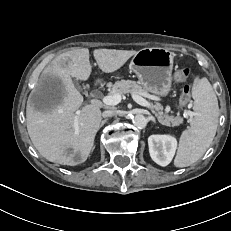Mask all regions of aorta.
Returning a JSON list of instances; mask_svg holds the SVG:
<instances>
[{"mask_svg": "<svg viewBox=\"0 0 231 231\" xmlns=\"http://www.w3.org/2000/svg\"><path fill=\"white\" fill-rule=\"evenodd\" d=\"M132 122L139 129H143L147 125V119L142 114L135 115Z\"/></svg>", "mask_w": 231, "mask_h": 231, "instance_id": "aorta-1", "label": "aorta"}]
</instances>
